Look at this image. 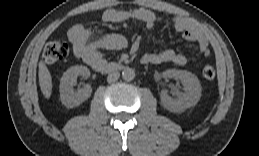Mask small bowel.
<instances>
[{
  "instance_id": "obj_1",
  "label": "small bowel",
  "mask_w": 259,
  "mask_h": 156,
  "mask_svg": "<svg viewBox=\"0 0 259 156\" xmlns=\"http://www.w3.org/2000/svg\"><path fill=\"white\" fill-rule=\"evenodd\" d=\"M102 19L108 23H120L127 20L140 21L146 25L149 31L162 20L153 11L145 8H108L103 12ZM172 23L174 29L182 33L183 38L187 42L194 43L197 46L198 55L189 58L172 49H167L155 53H146L142 58L144 63L156 65L172 63L182 66L189 61H196L198 58L208 57L210 55L206 36L193 22L186 18L175 17ZM68 38L73 45L74 54L93 68L99 63H105L102 53L104 49H122L127 45V41L122 35L108 34L93 37L90 30L81 24L74 25L69 29Z\"/></svg>"
}]
</instances>
